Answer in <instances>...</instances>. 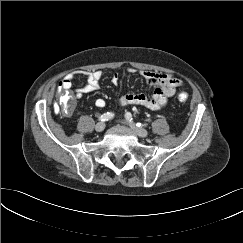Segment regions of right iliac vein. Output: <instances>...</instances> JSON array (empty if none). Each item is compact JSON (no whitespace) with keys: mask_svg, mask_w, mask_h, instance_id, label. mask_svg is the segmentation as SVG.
I'll list each match as a JSON object with an SVG mask.
<instances>
[{"mask_svg":"<svg viewBox=\"0 0 243 243\" xmlns=\"http://www.w3.org/2000/svg\"><path fill=\"white\" fill-rule=\"evenodd\" d=\"M104 129H105V123H103V122H99L95 126V130L97 132H102Z\"/></svg>","mask_w":243,"mask_h":243,"instance_id":"63e3f726","label":"right iliac vein"}]
</instances>
